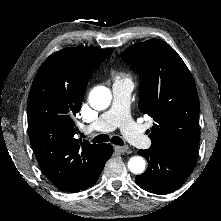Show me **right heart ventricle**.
Masks as SVG:
<instances>
[{"mask_svg": "<svg viewBox=\"0 0 221 221\" xmlns=\"http://www.w3.org/2000/svg\"><path fill=\"white\" fill-rule=\"evenodd\" d=\"M116 80H129V78L125 74H120L116 77Z\"/></svg>", "mask_w": 221, "mask_h": 221, "instance_id": "1", "label": "right heart ventricle"}]
</instances>
